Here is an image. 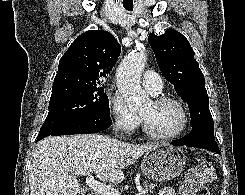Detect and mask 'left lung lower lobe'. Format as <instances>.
<instances>
[{"instance_id":"left-lung-lower-lobe-1","label":"left lung lower lobe","mask_w":245,"mask_h":195,"mask_svg":"<svg viewBox=\"0 0 245 195\" xmlns=\"http://www.w3.org/2000/svg\"><path fill=\"white\" fill-rule=\"evenodd\" d=\"M175 146H190L207 149L220 154L215 137L203 130H193L187 136L171 143Z\"/></svg>"}]
</instances>
